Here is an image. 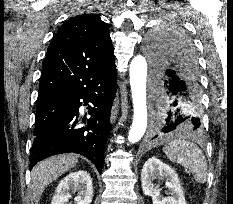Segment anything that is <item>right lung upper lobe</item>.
Returning <instances> with one entry per match:
<instances>
[{
    "label": "right lung upper lobe",
    "mask_w": 233,
    "mask_h": 204,
    "mask_svg": "<svg viewBox=\"0 0 233 204\" xmlns=\"http://www.w3.org/2000/svg\"><path fill=\"white\" fill-rule=\"evenodd\" d=\"M114 67L107 24L97 14L75 16L64 22L48 47L38 102L73 91Z\"/></svg>",
    "instance_id": "right-lung-upper-lobe-1"
}]
</instances>
